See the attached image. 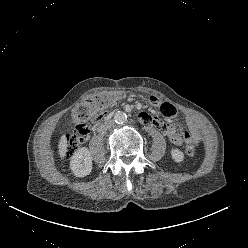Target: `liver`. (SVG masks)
<instances>
[{
  "instance_id": "6515ba94",
  "label": "liver",
  "mask_w": 248,
  "mask_h": 248,
  "mask_svg": "<svg viewBox=\"0 0 248 248\" xmlns=\"http://www.w3.org/2000/svg\"><path fill=\"white\" fill-rule=\"evenodd\" d=\"M58 149H59L58 150L59 157L63 158L67 151V144L64 137H62L61 140L59 141Z\"/></svg>"
}]
</instances>
